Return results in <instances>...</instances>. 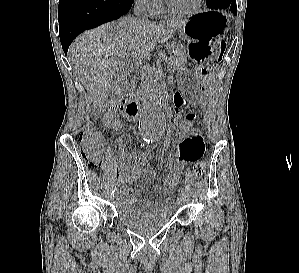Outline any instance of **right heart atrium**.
Instances as JSON below:
<instances>
[{
	"mask_svg": "<svg viewBox=\"0 0 299 273\" xmlns=\"http://www.w3.org/2000/svg\"><path fill=\"white\" fill-rule=\"evenodd\" d=\"M135 3L143 10H154L159 6L160 0H135Z\"/></svg>",
	"mask_w": 299,
	"mask_h": 273,
	"instance_id": "1",
	"label": "right heart atrium"
}]
</instances>
